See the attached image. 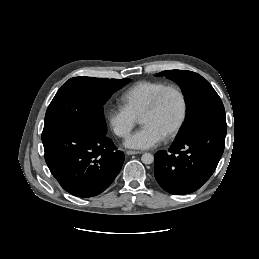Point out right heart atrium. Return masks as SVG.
Instances as JSON below:
<instances>
[{"label": "right heart atrium", "mask_w": 259, "mask_h": 259, "mask_svg": "<svg viewBox=\"0 0 259 259\" xmlns=\"http://www.w3.org/2000/svg\"><path fill=\"white\" fill-rule=\"evenodd\" d=\"M106 119L113 133L119 138L128 137L137 123V118L124 106L110 108Z\"/></svg>", "instance_id": "obj_1"}]
</instances>
